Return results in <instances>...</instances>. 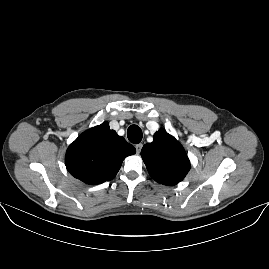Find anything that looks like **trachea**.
<instances>
[{
  "mask_svg": "<svg viewBox=\"0 0 269 269\" xmlns=\"http://www.w3.org/2000/svg\"><path fill=\"white\" fill-rule=\"evenodd\" d=\"M127 136L130 142L134 144L140 143L143 137L142 130L137 125H131L128 128Z\"/></svg>",
  "mask_w": 269,
  "mask_h": 269,
  "instance_id": "3493384b",
  "label": "trachea"
}]
</instances>
